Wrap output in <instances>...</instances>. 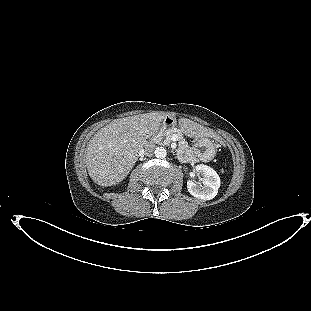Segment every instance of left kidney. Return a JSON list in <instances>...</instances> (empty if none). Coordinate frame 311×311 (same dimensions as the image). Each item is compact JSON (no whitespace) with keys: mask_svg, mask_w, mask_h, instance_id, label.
<instances>
[{"mask_svg":"<svg viewBox=\"0 0 311 311\" xmlns=\"http://www.w3.org/2000/svg\"><path fill=\"white\" fill-rule=\"evenodd\" d=\"M195 170L203 176V185L189 180L187 182L189 193L202 200L213 199L217 195L221 184L219 175L213 168L204 164L197 165Z\"/></svg>","mask_w":311,"mask_h":311,"instance_id":"5707ae66","label":"left kidney"}]
</instances>
